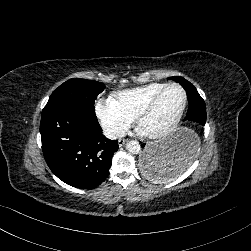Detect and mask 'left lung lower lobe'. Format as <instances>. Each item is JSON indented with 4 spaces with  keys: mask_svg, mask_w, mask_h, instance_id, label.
I'll return each instance as SVG.
<instances>
[{
    "mask_svg": "<svg viewBox=\"0 0 251 251\" xmlns=\"http://www.w3.org/2000/svg\"><path fill=\"white\" fill-rule=\"evenodd\" d=\"M187 96L189 108L183 131L166 143L146 148L140 157L141 171L153 182L163 183L177 178L194 163L199 154L206 107L202 98Z\"/></svg>",
    "mask_w": 251,
    "mask_h": 251,
    "instance_id": "obj_1",
    "label": "left lung lower lobe"
}]
</instances>
